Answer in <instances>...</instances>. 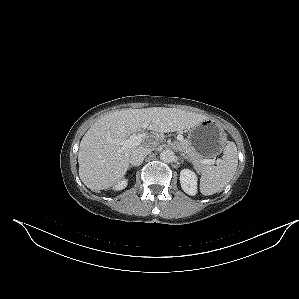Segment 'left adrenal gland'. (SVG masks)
Returning <instances> with one entry per match:
<instances>
[{
	"mask_svg": "<svg viewBox=\"0 0 299 299\" xmlns=\"http://www.w3.org/2000/svg\"><path fill=\"white\" fill-rule=\"evenodd\" d=\"M180 155H181L184 159H187V160H188L187 156H186L184 153H180Z\"/></svg>",
	"mask_w": 299,
	"mask_h": 299,
	"instance_id": "a2214340",
	"label": "left adrenal gland"
}]
</instances>
